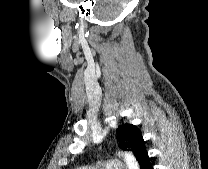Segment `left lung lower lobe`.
Segmentation results:
<instances>
[{
  "label": "left lung lower lobe",
  "mask_w": 208,
  "mask_h": 169,
  "mask_svg": "<svg viewBox=\"0 0 208 169\" xmlns=\"http://www.w3.org/2000/svg\"><path fill=\"white\" fill-rule=\"evenodd\" d=\"M140 169H153V164L150 162L147 150L143 151L138 158Z\"/></svg>",
  "instance_id": "obj_1"
}]
</instances>
